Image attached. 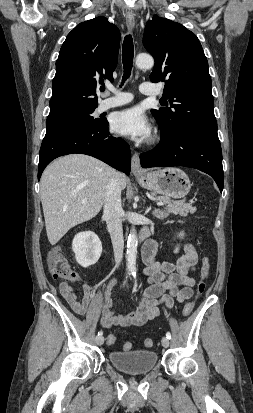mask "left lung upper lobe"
I'll use <instances>...</instances> for the list:
<instances>
[{
	"label": "left lung upper lobe",
	"instance_id": "left-lung-upper-lobe-1",
	"mask_svg": "<svg viewBox=\"0 0 253 413\" xmlns=\"http://www.w3.org/2000/svg\"><path fill=\"white\" fill-rule=\"evenodd\" d=\"M143 44L155 59L150 80L165 83L164 96L171 103V108L152 110L161 139H173L190 128L217 132L208 62L197 36L155 15L147 22Z\"/></svg>",
	"mask_w": 253,
	"mask_h": 413
}]
</instances>
